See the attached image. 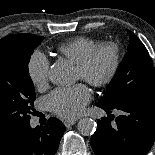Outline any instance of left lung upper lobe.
<instances>
[{
    "label": "left lung upper lobe",
    "mask_w": 155,
    "mask_h": 155,
    "mask_svg": "<svg viewBox=\"0 0 155 155\" xmlns=\"http://www.w3.org/2000/svg\"><path fill=\"white\" fill-rule=\"evenodd\" d=\"M127 31L130 37L128 53L99 102L101 104L114 105L136 92L155 89V69L149 53L139 38Z\"/></svg>",
    "instance_id": "5c2ea615"
}]
</instances>
